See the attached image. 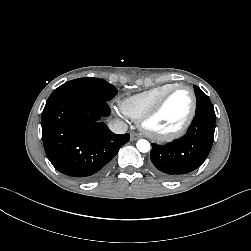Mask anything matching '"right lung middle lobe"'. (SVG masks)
<instances>
[{"label":"right lung middle lobe","mask_w":251,"mask_h":251,"mask_svg":"<svg viewBox=\"0 0 251 251\" xmlns=\"http://www.w3.org/2000/svg\"><path fill=\"white\" fill-rule=\"evenodd\" d=\"M117 93V89L110 83L100 78H79L68 81L55 89L48 100L65 96L79 95L109 101Z\"/></svg>","instance_id":"dd1d6c3e"}]
</instances>
